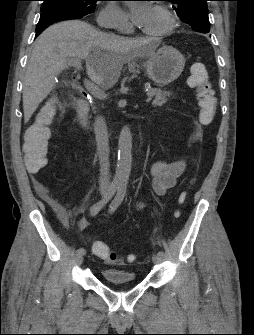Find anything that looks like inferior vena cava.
Here are the masks:
<instances>
[{"instance_id":"602c4592","label":"inferior vena cava","mask_w":254,"mask_h":335,"mask_svg":"<svg viewBox=\"0 0 254 335\" xmlns=\"http://www.w3.org/2000/svg\"><path fill=\"white\" fill-rule=\"evenodd\" d=\"M95 136L97 142V151L100 162L99 186L101 190H107L110 186L109 174V139L105 120L98 117L95 120Z\"/></svg>"}]
</instances>
